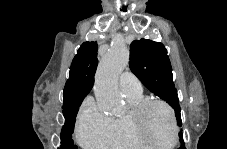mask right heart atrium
<instances>
[{"label":"right heart atrium","mask_w":227,"mask_h":149,"mask_svg":"<svg viewBox=\"0 0 227 149\" xmlns=\"http://www.w3.org/2000/svg\"><path fill=\"white\" fill-rule=\"evenodd\" d=\"M112 118L104 114L92 98H87L78 113L76 136L79 144L87 149L108 146Z\"/></svg>","instance_id":"obj_1"}]
</instances>
